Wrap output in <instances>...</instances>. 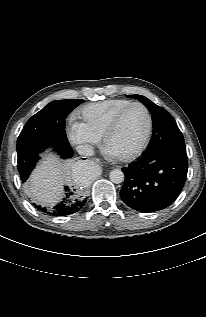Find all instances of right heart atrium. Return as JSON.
Returning <instances> with one entry per match:
<instances>
[{"instance_id":"1","label":"right heart atrium","mask_w":206,"mask_h":317,"mask_svg":"<svg viewBox=\"0 0 206 317\" xmlns=\"http://www.w3.org/2000/svg\"><path fill=\"white\" fill-rule=\"evenodd\" d=\"M69 140L76 146L92 147L98 143L99 138L94 136L82 122L70 120L67 127Z\"/></svg>"}]
</instances>
